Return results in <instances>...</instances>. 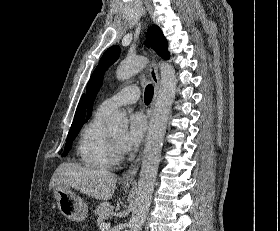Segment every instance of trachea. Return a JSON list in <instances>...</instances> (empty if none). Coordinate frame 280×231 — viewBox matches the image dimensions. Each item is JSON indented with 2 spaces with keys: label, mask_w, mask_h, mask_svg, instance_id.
Returning a JSON list of instances; mask_svg holds the SVG:
<instances>
[{
  "label": "trachea",
  "mask_w": 280,
  "mask_h": 231,
  "mask_svg": "<svg viewBox=\"0 0 280 231\" xmlns=\"http://www.w3.org/2000/svg\"><path fill=\"white\" fill-rule=\"evenodd\" d=\"M154 94V89L152 85H147L146 89H145V93H144V102L146 104H149L152 100Z\"/></svg>",
  "instance_id": "1"
}]
</instances>
